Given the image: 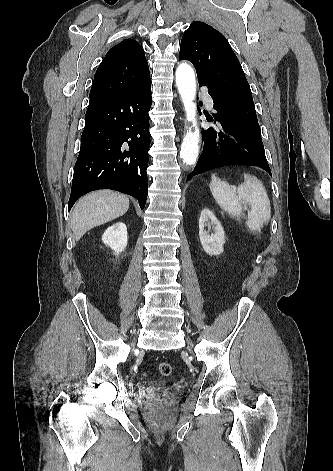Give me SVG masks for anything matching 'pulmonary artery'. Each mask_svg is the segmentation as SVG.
I'll use <instances>...</instances> for the list:
<instances>
[{
  "label": "pulmonary artery",
  "instance_id": "pulmonary-artery-1",
  "mask_svg": "<svg viewBox=\"0 0 333 471\" xmlns=\"http://www.w3.org/2000/svg\"><path fill=\"white\" fill-rule=\"evenodd\" d=\"M204 100H205L206 105H207L209 108H212V107H213V100H212V98H211L209 95L205 94V95H204Z\"/></svg>",
  "mask_w": 333,
  "mask_h": 471
}]
</instances>
